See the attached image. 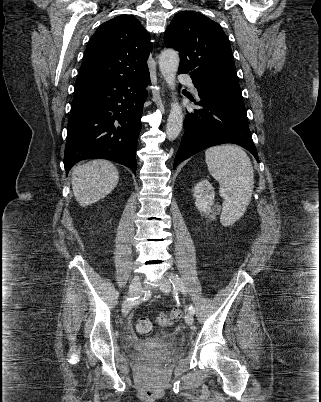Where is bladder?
Listing matches in <instances>:
<instances>
[{"instance_id":"1","label":"bladder","mask_w":321,"mask_h":402,"mask_svg":"<svg viewBox=\"0 0 321 402\" xmlns=\"http://www.w3.org/2000/svg\"><path fill=\"white\" fill-rule=\"evenodd\" d=\"M166 337L165 335L160 336V337H152L150 339H147L144 341V345L143 348L145 349V351L147 353H149L150 355H152L155 359H159V360H166V355L162 354L159 351V347L156 345L157 342L161 339Z\"/></svg>"}]
</instances>
